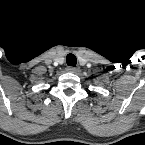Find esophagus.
I'll return each mask as SVG.
<instances>
[{
	"label": "esophagus",
	"mask_w": 145,
	"mask_h": 145,
	"mask_svg": "<svg viewBox=\"0 0 145 145\" xmlns=\"http://www.w3.org/2000/svg\"><path fill=\"white\" fill-rule=\"evenodd\" d=\"M67 71L71 73H76L78 71V68L69 66L67 67Z\"/></svg>",
	"instance_id": "1"
}]
</instances>
